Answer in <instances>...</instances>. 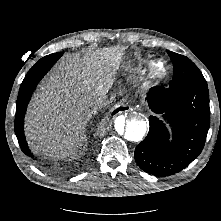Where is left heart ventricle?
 I'll use <instances>...</instances> for the list:
<instances>
[{"mask_svg": "<svg viewBox=\"0 0 221 221\" xmlns=\"http://www.w3.org/2000/svg\"><path fill=\"white\" fill-rule=\"evenodd\" d=\"M157 70H158V72H162L164 70V65L162 63H159L157 65Z\"/></svg>", "mask_w": 221, "mask_h": 221, "instance_id": "1", "label": "left heart ventricle"}]
</instances>
